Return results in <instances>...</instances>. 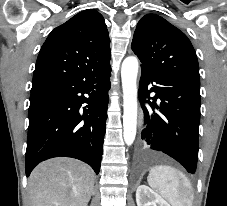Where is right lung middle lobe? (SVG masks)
<instances>
[{
    "mask_svg": "<svg viewBox=\"0 0 227 206\" xmlns=\"http://www.w3.org/2000/svg\"><path fill=\"white\" fill-rule=\"evenodd\" d=\"M42 85V83H40V84H34L33 86H32V89L34 88V87H36V86H41Z\"/></svg>",
    "mask_w": 227,
    "mask_h": 206,
    "instance_id": "dd1d6c3e",
    "label": "right lung middle lobe"
}]
</instances>
